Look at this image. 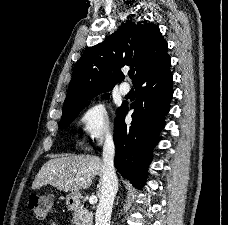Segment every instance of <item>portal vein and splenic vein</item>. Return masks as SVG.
I'll return each instance as SVG.
<instances>
[{
	"instance_id": "obj_1",
	"label": "portal vein and splenic vein",
	"mask_w": 228,
	"mask_h": 225,
	"mask_svg": "<svg viewBox=\"0 0 228 225\" xmlns=\"http://www.w3.org/2000/svg\"><path fill=\"white\" fill-rule=\"evenodd\" d=\"M81 181H84V179H81ZM89 203L90 205H94V203H97V197H90Z\"/></svg>"
}]
</instances>
